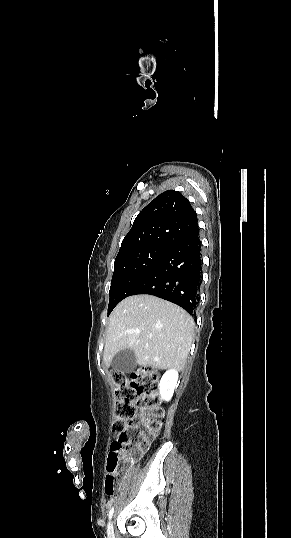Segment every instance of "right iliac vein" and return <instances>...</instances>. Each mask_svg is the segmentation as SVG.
<instances>
[{"instance_id":"right-iliac-vein-1","label":"right iliac vein","mask_w":291,"mask_h":538,"mask_svg":"<svg viewBox=\"0 0 291 538\" xmlns=\"http://www.w3.org/2000/svg\"><path fill=\"white\" fill-rule=\"evenodd\" d=\"M108 538H114L113 524L111 521L108 524Z\"/></svg>"}]
</instances>
